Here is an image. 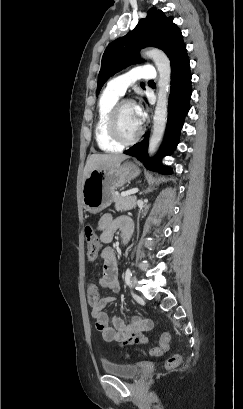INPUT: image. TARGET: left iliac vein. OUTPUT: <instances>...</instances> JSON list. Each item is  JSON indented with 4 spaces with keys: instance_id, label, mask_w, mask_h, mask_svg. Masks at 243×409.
<instances>
[{
    "instance_id": "obj_1",
    "label": "left iliac vein",
    "mask_w": 243,
    "mask_h": 409,
    "mask_svg": "<svg viewBox=\"0 0 243 409\" xmlns=\"http://www.w3.org/2000/svg\"><path fill=\"white\" fill-rule=\"evenodd\" d=\"M137 284V278L133 277L131 281V286L134 287Z\"/></svg>"
}]
</instances>
